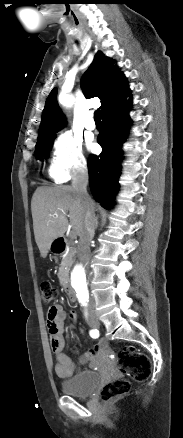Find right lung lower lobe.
<instances>
[{
	"label": "right lung lower lobe",
	"mask_w": 183,
	"mask_h": 438,
	"mask_svg": "<svg viewBox=\"0 0 183 438\" xmlns=\"http://www.w3.org/2000/svg\"><path fill=\"white\" fill-rule=\"evenodd\" d=\"M130 100L126 98L102 114L103 128L97 142L103 148L102 153L91 155L88 161L89 184L97 202L104 208H110L117 193L123 159L121 146L125 141V130L130 126L128 113Z\"/></svg>",
	"instance_id": "98d812e1"
}]
</instances>
